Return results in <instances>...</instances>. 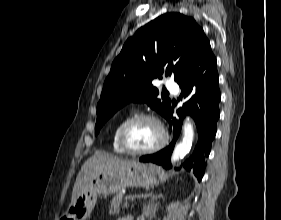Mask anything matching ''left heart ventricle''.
<instances>
[{
	"label": "left heart ventricle",
	"mask_w": 281,
	"mask_h": 220,
	"mask_svg": "<svg viewBox=\"0 0 281 220\" xmlns=\"http://www.w3.org/2000/svg\"><path fill=\"white\" fill-rule=\"evenodd\" d=\"M129 144L135 149H147L161 140V132L156 123L142 120L130 127L127 133Z\"/></svg>",
	"instance_id": "1"
}]
</instances>
